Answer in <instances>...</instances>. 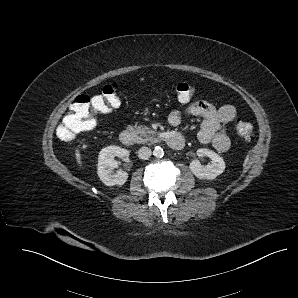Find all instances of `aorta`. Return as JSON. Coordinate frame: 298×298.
<instances>
[{"mask_svg": "<svg viewBox=\"0 0 298 298\" xmlns=\"http://www.w3.org/2000/svg\"><path fill=\"white\" fill-rule=\"evenodd\" d=\"M164 154L163 149L160 146H156L153 150V155L156 157H162Z\"/></svg>", "mask_w": 298, "mask_h": 298, "instance_id": "762f6f07", "label": "aorta"}]
</instances>
